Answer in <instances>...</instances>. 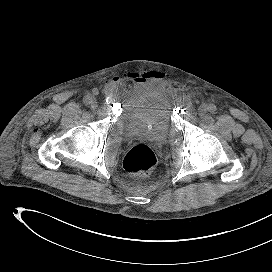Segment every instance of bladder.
Returning a JSON list of instances; mask_svg holds the SVG:
<instances>
[{
	"instance_id": "31cf9c89",
	"label": "bladder",
	"mask_w": 272,
	"mask_h": 272,
	"mask_svg": "<svg viewBox=\"0 0 272 272\" xmlns=\"http://www.w3.org/2000/svg\"><path fill=\"white\" fill-rule=\"evenodd\" d=\"M125 135L131 139L164 142L171 129V114L164 101L141 100L128 104L121 116Z\"/></svg>"
}]
</instances>
